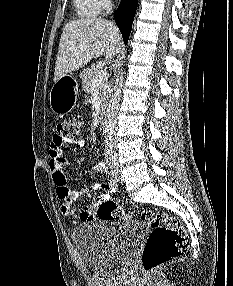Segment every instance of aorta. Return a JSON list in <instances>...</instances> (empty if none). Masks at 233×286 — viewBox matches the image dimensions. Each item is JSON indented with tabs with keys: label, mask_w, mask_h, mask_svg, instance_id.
<instances>
[{
	"label": "aorta",
	"mask_w": 233,
	"mask_h": 286,
	"mask_svg": "<svg viewBox=\"0 0 233 286\" xmlns=\"http://www.w3.org/2000/svg\"><path fill=\"white\" fill-rule=\"evenodd\" d=\"M123 74L124 72L121 69L118 77L115 80L113 92L104 116L103 127L105 131V137L108 142H114L115 140L116 114L121 100V89L124 81Z\"/></svg>",
	"instance_id": "762f6f07"
}]
</instances>
